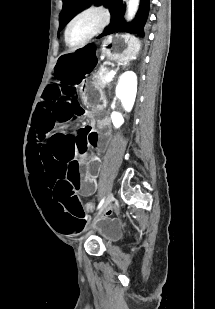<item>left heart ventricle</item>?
<instances>
[{
    "mask_svg": "<svg viewBox=\"0 0 215 309\" xmlns=\"http://www.w3.org/2000/svg\"><path fill=\"white\" fill-rule=\"evenodd\" d=\"M77 35H78V32L75 33V36H77Z\"/></svg>",
    "mask_w": 215,
    "mask_h": 309,
    "instance_id": "b2bd125f",
    "label": "left heart ventricle"
}]
</instances>
